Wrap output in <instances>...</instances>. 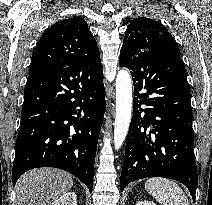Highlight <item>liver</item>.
<instances>
[{"instance_id": "obj_1", "label": "liver", "mask_w": 212, "mask_h": 205, "mask_svg": "<svg viewBox=\"0 0 212 205\" xmlns=\"http://www.w3.org/2000/svg\"><path fill=\"white\" fill-rule=\"evenodd\" d=\"M73 186L72 175L54 168L30 170L16 184L18 205H48Z\"/></svg>"}]
</instances>
